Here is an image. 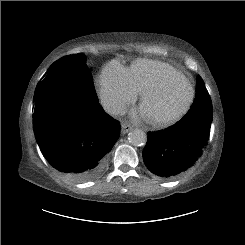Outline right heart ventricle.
Here are the masks:
<instances>
[{
	"label": "right heart ventricle",
	"instance_id": "e07e8e85",
	"mask_svg": "<svg viewBox=\"0 0 245 245\" xmlns=\"http://www.w3.org/2000/svg\"><path fill=\"white\" fill-rule=\"evenodd\" d=\"M175 70L177 69L167 63L145 59L134 61L127 68L130 83L137 93H142Z\"/></svg>",
	"mask_w": 245,
	"mask_h": 245
}]
</instances>
